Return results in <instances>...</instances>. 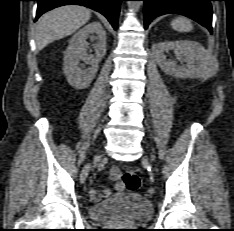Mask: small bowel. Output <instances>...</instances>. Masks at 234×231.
<instances>
[{"instance_id":"c3829d8e","label":"small bowel","mask_w":234,"mask_h":231,"mask_svg":"<svg viewBox=\"0 0 234 231\" xmlns=\"http://www.w3.org/2000/svg\"><path fill=\"white\" fill-rule=\"evenodd\" d=\"M125 190V186L122 182H117L114 186V189L107 188L102 193H100L96 188H91L89 193L90 197L94 201L101 200L102 198L109 197L114 191L115 192H123Z\"/></svg>"}]
</instances>
